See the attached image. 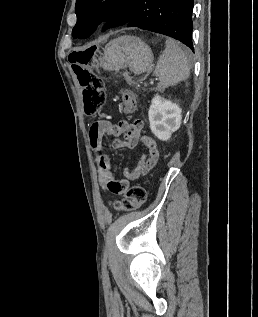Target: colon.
<instances>
[{"instance_id":"colon-1","label":"colon","mask_w":258,"mask_h":317,"mask_svg":"<svg viewBox=\"0 0 258 317\" xmlns=\"http://www.w3.org/2000/svg\"><path fill=\"white\" fill-rule=\"evenodd\" d=\"M96 49L94 47L74 49L69 54V62L82 89L84 111L86 114L98 112L105 104V88L102 79L91 70ZM124 112L132 114L136 109V99L129 90L121 95ZM146 199V192L141 186H133L122 200L114 204L121 212H131L140 208Z\"/></svg>"}]
</instances>
